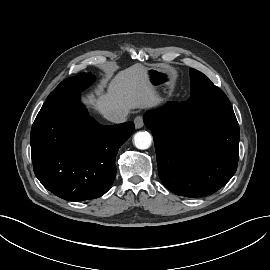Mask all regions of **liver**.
<instances>
[{
  "label": "liver",
  "instance_id": "6515ba94",
  "mask_svg": "<svg viewBox=\"0 0 270 270\" xmlns=\"http://www.w3.org/2000/svg\"><path fill=\"white\" fill-rule=\"evenodd\" d=\"M162 99L150 82L147 69L141 64L120 71L111 81L106 94L90 102L102 114L119 108H151L159 105Z\"/></svg>",
  "mask_w": 270,
  "mask_h": 270
}]
</instances>
